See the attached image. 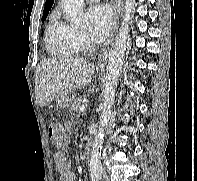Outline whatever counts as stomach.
<instances>
[{
	"label": "stomach",
	"instance_id": "0dacf381",
	"mask_svg": "<svg viewBox=\"0 0 197 181\" xmlns=\"http://www.w3.org/2000/svg\"><path fill=\"white\" fill-rule=\"evenodd\" d=\"M74 98L75 94L71 90H64L57 94L56 102L60 109L66 110L70 107Z\"/></svg>",
	"mask_w": 197,
	"mask_h": 181
}]
</instances>
